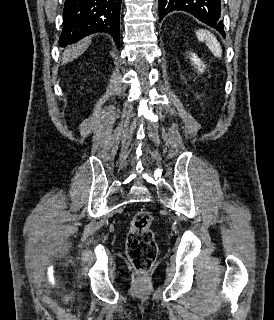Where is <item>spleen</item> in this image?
Returning <instances> with one entry per match:
<instances>
[{
    "mask_svg": "<svg viewBox=\"0 0 274 320\" xmlns=\"http://www.w3.org/2000/svg\"><path fill=\"white\" fill-rule=\"evenodd\" d=\"M196 36L199 42H205L206 46H208L209 50H211L212 54H214L216 58H221V46L211 32H207V30H197Z\"/></svg>",
    "mask_w": 274,
    "mask_h": 320,
    "instance_id": "1",
    "label": "spleen"
}]
</instances>
